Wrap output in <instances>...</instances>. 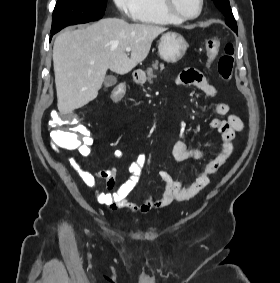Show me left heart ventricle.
Returning a JSON list of instances; mask_svg holds the SVG:
<instances>
[{
	"mask_svg": "<svg viewBox=\"0 0 280 283\" xmlns=\"http://www.w3.org/2000/svg\"><path fill=\"white\" fill-rule=\"evenodd\" d=\"M175 7L185 15H194L199 9V0H174Z\"/></svg>",
	"mask_w": 280,
	"mask_h": 283,
	"instance_id": "1",
	"label": "left heart ventricle"
}]
</instances>
